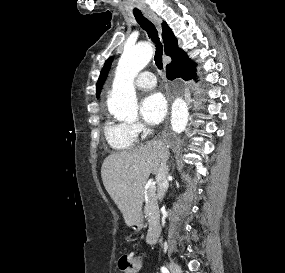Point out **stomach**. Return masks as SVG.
I'll return each mask as SVG.
<instances>
[{
	"label": "stomach",
	"instance_id": "stomach-1",
	"mask_svg": "<svg viewBox=\"0 0 285 273\" xmlns=\"http://www.w3.org/2000/svg\"><path fill=\"white\" fill-rule=\"evenodd\" d=\"M139 224V220L135 223V224H133L134 226H137Z\"/></svg>",
	"mask_w": 285,
	"mask_h": 273
}]
</instances>
